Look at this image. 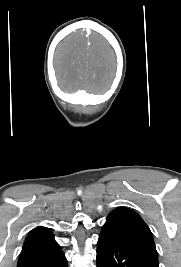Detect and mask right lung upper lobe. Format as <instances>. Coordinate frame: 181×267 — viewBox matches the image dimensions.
<instances>
[{
  "label": "right lung upper lobe",
  "mask_w": 181,
  "mask_h": 267,
  "mask_svg": "<svg viewBox=\"0 0 181 267\" xmlns=\"http://www.w3.org/2000/svg\"><path fill=\"white\" fill-rule=\"evenodd\" d=\"M58 248L59 245L54 240L52 232L48 228L42 226L33 229L28 234L23 246V250L26 249L52 250Z\"/></svg>",
  "instance_id": "right-lung-upper-lobe-1"
}]
</instances>
